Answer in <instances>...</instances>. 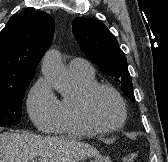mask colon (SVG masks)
Wrapping results in <instances>:
<instances>
[{"mask_svg":"<svg viewBox=\"0 0 168 162\" xmlns=\"http://www.w3.org/2000/svg\"><path fill=\"white\" fill-rule=\"evenodd\" d=\"M138 159V155L135 153H131L128 154L125 158H124V162H136Z\"/></svg>","mask_w":168,"mask_h":162,"instance_id":"1","label":"colon"}]
</instances>
